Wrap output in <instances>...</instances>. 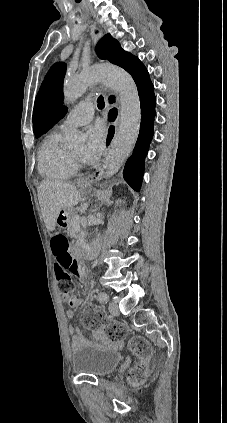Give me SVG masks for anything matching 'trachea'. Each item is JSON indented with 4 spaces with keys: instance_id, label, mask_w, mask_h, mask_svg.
<instances>
[{
    "instance_id": "obj_1",
    "label": "trachea",
    "mask_w": 227,
    "mask_h": 423,
    "mask_svg": "<svg viewBox=\"0 0 227 423\" xmlns=\"http://www.w3.org/2000/svg\"><path fill=\"white\" fill-rule=\"evenodd\" d=\"M97 106H98V108L99 109H102V108H104V106H105V102H104V98H103V96L102 95H100L99 97H98V99H97Z\"/></svg>"
}]
</instances>
